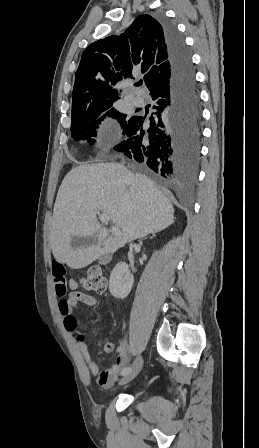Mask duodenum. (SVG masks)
Here are the masks:
<instances>
[{
    "instance_id": "410a0bca",
    "label": "duodenum",
    "mask_w": 259,
    "mask_h": 448,
    "mask_svg": "<svg viewBox=\"0 0 259 448\" xmlns=\"http://www.w3.org/2000/svg\"><path fill=\"white\" fill-rule=\"evenodd\" d=\"M110 260H111V255L107 253V254H104L101 256L100 263L107 264Z\"/></svg>"
}]
</instances>
